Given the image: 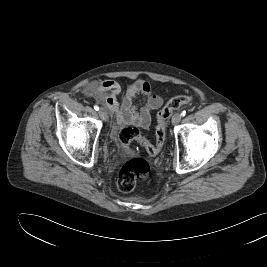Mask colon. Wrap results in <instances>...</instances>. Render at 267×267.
<instances>
[{"label":"colon","instance_id":"1","mask_svg":"<svg viewBox=\"0 0 267 267\" xmlns=\"http://www.w3.org/2000/svg\"><path fill=\"white\" fill-rule=\"evenodd\" d=\"M191 101V96H176L157 113L155 143L147 140L136 127L127 126L120 131L119 141L128 157L127 161L120 168L117 177V187L120 191L125 193L133 191L136 185L139 182L147 180L151 173L150 164L136 154L131 147L132 142H139L151 156L159 154L165 142L167 120L174 111L191 103Z\"/></svg>","mask_w":267,"mask_h":267}]
</instances>
